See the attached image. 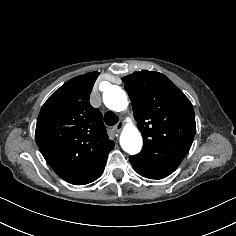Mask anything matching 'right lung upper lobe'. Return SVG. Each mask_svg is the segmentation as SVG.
Here are the masks:
<instances>
[{
	"label": "right lung upper lobe",
	"mask_w": 236,
	"mask_h": 236,
	"mask_svg": "<svg viewBox=\"0 0 236 236\" xmlns=\"http://www.w3.org/2000/svg\"><path fill=\"white\" fill-rule=\"evenodd\" d=\"M98 72L74 77L44 103L36 125V143L61 178L96 171L114 148L102 114L89 103Z\"/></svg>",
	"instance_id": "1"
}]
</instances>
